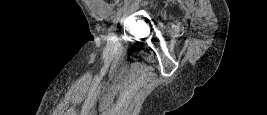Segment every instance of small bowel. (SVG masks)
Wrapping results in <instances>:
<instances>
[{"label": "small bowel", "instance_id": "c3829d8e", "mask_svg": "<svg viewBox=\"0 0 267 115\" xmlns=\"http://www.w3.org/2000/svg\"><path fill=\"white\" fill-rule=\"evenodd\" d=\"M85 2L92 10V12L99 17H106L110 13V7L98 0H86Z\"/></svg>", "mask_w": 267, "mask_h": 115}]
</instances>
